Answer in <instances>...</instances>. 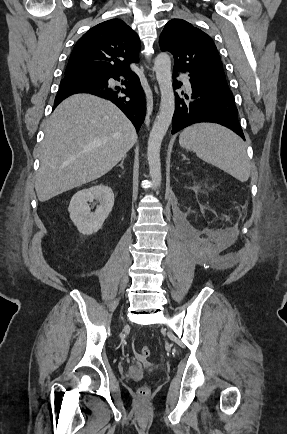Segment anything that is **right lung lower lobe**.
I'll return each mask as SVG.
<instances>
[{
	"label": "right lung lower lobe",
	"mask_w": 287,
	"mask_h": 434,
	"mask_svg": "<svg viewBox=\"0 0 287 434\" xmlns=\"http://www.w3.org/2000/svg\"><path fill=\"white\" fill-rule=\"evenodd\" d=\"M121 81L124 88H111L109 79ZM75 93H90L112 101L131 120L136 130L140 129L146 113L145 98L138 76L131 70L103 73L98 79L61 81L54 108L66 97Z\"/></svg>",
	"instance_id": "right-lung-lower-lobe-1"
}]
</instances>
